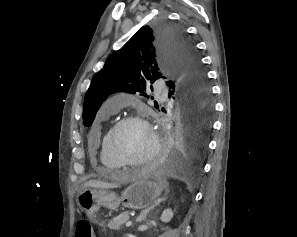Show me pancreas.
<instances>
[{"label": "pancreas", "mask_w": 297, "mask_h": 237, "mask_svg": "<svg viewBox=\"0 0 297 237\" xmlns=\"http://www.w3.org/2000/svg\"><path fill=\"white\" fill-rule=\"evenodd\" d=\"M129 217V212H123L120 215L114 217L107 226L111 230H119L129 220Z\"/></svg>", "instance_id": "pancreas-1"}]
</instances>
